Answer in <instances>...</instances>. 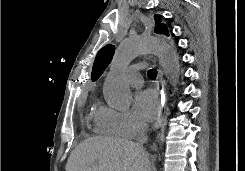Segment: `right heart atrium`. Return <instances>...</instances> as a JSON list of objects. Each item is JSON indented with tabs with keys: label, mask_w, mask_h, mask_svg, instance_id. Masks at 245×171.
I'll return each mask as SVG.
<instances>
[{
	"label": "right heart atrium",
	"mask_w": 245,
	"mask_h": 171,
	"mask_svg": "<svg viewBox=\"0 0 245 171\" xmlns=\"http://www.w3.org/2000/svg\"><path fill=\"white\" fill-rule=\"evenodd\" d=\"M96 129L99 133L132 138L144 127V123L130 111H118L101 106L95 117Z\"/></svg>",
	"instance_id": "right-heart-atrium-1"
}]
</instances>
